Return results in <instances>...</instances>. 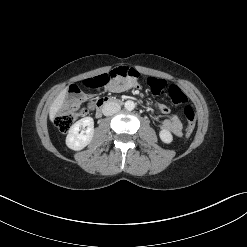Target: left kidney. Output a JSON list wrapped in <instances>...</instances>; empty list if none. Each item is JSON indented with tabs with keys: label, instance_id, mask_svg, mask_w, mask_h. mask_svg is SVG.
I'll return each mask as SVG.
<instances>
[{
	"label": "left kidney",
	"instance_id": "obj_1",
	"mask_svg": "<svg viewBox=\"0 0 247 247\" xmlns=\"http://www.w3.org/2000/svg\"><path fill=\"white\" fill-rule=\"evenodd\" d=\"M160 139L166 144H170L173 141L172 134L167 130H161L159 133Z\"/></svg>",
	"mask_w": 247,
	"mask_h": 247
}]
</instances>
